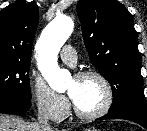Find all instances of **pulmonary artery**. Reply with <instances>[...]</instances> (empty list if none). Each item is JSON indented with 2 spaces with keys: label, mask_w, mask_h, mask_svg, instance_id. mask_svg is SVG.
Masks as SVG:
<instances>
[{
  "label": "pulmonary artery",
  "mask_w": 147,
  "mask_h": 131,
  "mask_svg": "<svg viewBox=\"0 0 147 131\" xmlns=\"http://www.w3.org/2000/svg\"><path fill=\"white\" fill-rule=\"evenodd\" d=\"M60 56L62 61L68 65H74L77 61L75 49L70 45H66L61 49Z\"/></svg>",
  "instance_id": "obj_1"
}]
</instances>
